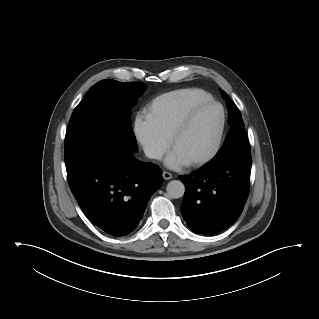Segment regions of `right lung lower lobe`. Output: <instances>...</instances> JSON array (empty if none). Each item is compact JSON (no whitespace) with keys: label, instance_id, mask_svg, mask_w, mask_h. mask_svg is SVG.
Wrapping results in <instances>:
<instances>
[{"label":"right lung lower lobe","instance_id":"obj_1","mask_svg":"<svg viewBox=\"0 0 319 319\" xmlns=\"http://www.w3.org/2000/svg\"><path fill=\"white\" fill-rule=\"evenodd\" d=\"M132 149L120 139L101 144L67 173L86 217L114 237L128 235L138 226L150 196L163 183L159 167L138 161Z\"/></svg>","mask_w":319,"mask_h":319}]
</instances>
